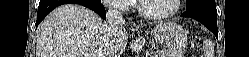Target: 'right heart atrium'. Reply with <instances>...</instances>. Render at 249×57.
<instances>
[{
    "label": "right heart atrium",
    "instance_id": "d8ad5b80",
    "mask_svg": "<svg viewBox=\"0 0 249 57\" xmlns=\"http://www.w3.org/2000/svg\"><path fill=\"white\" fill-rule=\"evenodd\" d=\"M104 3L110 10L117 14L126 13L132 8L130 0H106Z\"/></svg>",
    "mask_w": 249,
    "mask_h": 57
}]
</instances>
